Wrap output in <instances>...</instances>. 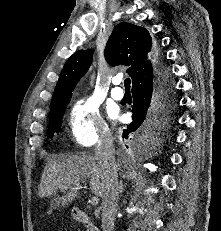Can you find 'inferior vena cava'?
<instances>
[{
    "label": "inferior vena cava",
    "mask_w": 221,
    "mask_h": 231,
    "mask_svg": "<svg viewBox=\"0 0 221 231\" xmlns=\"http://www.w3.org/2000/svg\"><path fill=\"white\" fill-rule=\"evenodd\" d=\"M95 159L100 164L105 187L102 196V229L114 231V216L118 204L119 183L113 138L109 130H104L95 147Z\"/></svg>",
    "instance_id": "obj_1"
}]
</instances>
